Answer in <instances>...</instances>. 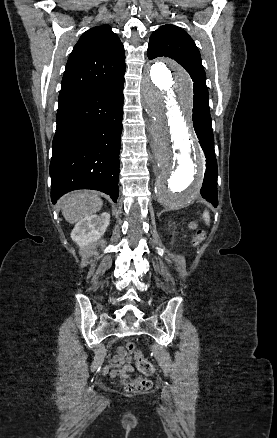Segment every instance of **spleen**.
<instances>
[{
	"label": "spleen",
	"instance_id": "spleen-1",
	"mask_svg": "<svg viewBox=\"0 0 277 438\" xmlns=\"http://www.w3.org/2000/svg\"><path fill=\"white\" fill-rule=\"evenodd\" d=\"M203 218L205 220V224H207V226H209L210 224V216H209V212H204L203 214Z\"/></svg>",
	"mask_w": 277,
	"mask_h": 438
}]
</instances>
